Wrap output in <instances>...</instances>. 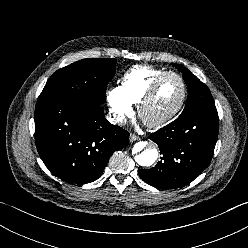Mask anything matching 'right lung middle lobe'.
<instances>
[{"mask_svg": "<svg viewBox=\"0 0 248 248\" xmlns=\"http://www.w3.org/2000/svg\"><path fill=\"white\" fill-rule=\"evenodd\" d=\"M116 60L83 59L57 70L47 81L38 101L61 99L87 107L101 106L115 73Z\"/></svg>", "mask_w": 248, "mask_h": 248, "instance_id": "right-lung-middle-lobe-1", "label": "right lung middle lobe"}]
</instances>
